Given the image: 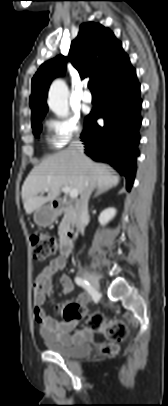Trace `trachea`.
Returning <instances> with one entry per match:
<instances>
[{"label":"trachea","mask_w":168,"mask_h":406,"mask_svg":"<svg viewBox=\"0 0 168 406\" xmlns=\"http://www.w3.org/2000/svg\"><path fill=\"white\" fill-rule=\"evenodd\" d=\"M88 87L92 92L95 91L94 86H93V84L91 82L88 83Z\"/></svg>","instance_id":"3493384b"}]
</instances>
